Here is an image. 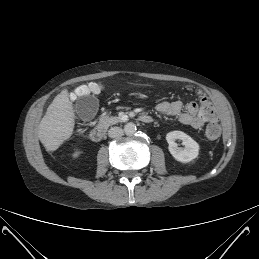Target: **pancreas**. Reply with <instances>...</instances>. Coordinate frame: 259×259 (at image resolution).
I'll use <instances>...</instances> for the list:
<instances>
[{"label":"pancreas","mask_w":259,"mask_h":259,"mask_svg":"<svg viewBox=\"0 0 259 259\" xmlns=\"http://www.w3.org/2000/svg\"><path fill=\"white\" fill-rule=\"evenodd\" d=\"M118 122H121V120L117 116L103 115L99 120V126L107 128Z\"/></svg>","instance_id":"1"}]
</instances>
